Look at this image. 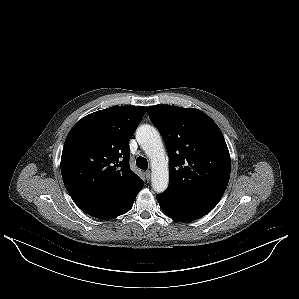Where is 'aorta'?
Here are the masks:
<instances>
[{"label": "aorta", "mask_w": 299, "mask_h": 299, "mask_svg": "<svg viewBox=\"0 0 299 299\" xmlns=\"http://www.w3.org/2000/svg\"><path fill=\"white\" fill-rule=\"evenodd\" d=\"M136 139L151 162V184L156 193L164 192L169 184L168 162L159 132L150 125H141Z\"/></svg>", "instance_id": "762f6f07"}]
</instances>
